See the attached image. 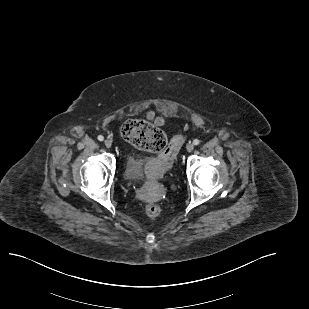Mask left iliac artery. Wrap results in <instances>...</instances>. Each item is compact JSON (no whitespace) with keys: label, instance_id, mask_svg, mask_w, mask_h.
<instances>
[{"label":"left iliac artery","instance_id":"obj_1","mask_svg":"<svg viewBox=\"0 0 309 309\" xmlns=\"http://www.w3.org/2000/svg\"><path fill=\"white\" fill-rule=\"evenodd\" d=\"M199 143H200V141H199L198 139H194V140H193V144H194V145H199Z\"/></svg>","mask_w":309,"mask_h":309}]
</instances>
